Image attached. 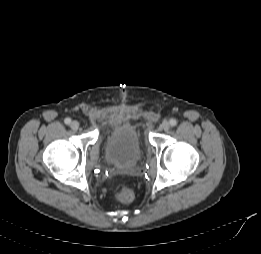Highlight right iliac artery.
<instances>
[{"label":"right iliac artery","mask_w":261,"mask_h":254,"mask_svg":"<svg viewBox=\"0 0 261 254\" xmlns=\"http://www.w3.org/2000/svg\"><path fill=\"white\" fill-rule=\"evenodd\" d=\"M64 122H65V124L69 125V124L71 123V119H70V118H66V119L64 120Z\"/></svg>","instance_id":"1"}]
</instances>
